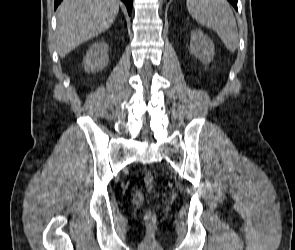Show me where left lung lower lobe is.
Returning <instances> with one entry per match:
<instances>
[{"label":"left lung lower lobe","instance_id":"obj_1","mask_svg":"<svg viewBox=\"0 0 295 250\" xmlns=\"http://www.w3.org/2000/svg\"><path fill=\"white\" fill-rule=\"evenodd\" d=\"M233 6L234 8L237 10V1L238 0H228Z\"/></svg>","mask_w":295,"mask_h":250}]
</instances>
